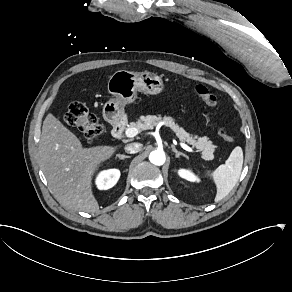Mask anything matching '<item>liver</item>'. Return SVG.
<instances>
[{"label":"liver","mask_w":292,"mask_h":292,"mask_svg":"<svg viewBox=\"0 0 292 292\" xmlns=\"http://www.w3.org/2000/svg\"><path fill=\"white\" fill-rule=\"evenodd\" d=\"M121 146L84 148L76 134L49 113L39 141L40 168L62 205L73 211L95 213L99 203L93 193V178Z\"/></svg>","instance_id":"obj_1"}]
</instances>
